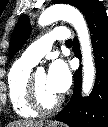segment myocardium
<instances>
[{
    "label": "myocardium",
    "instance_id": "obj_1",
    "mask_svg": "<svg viewBox=\"0 0 108 127\" xmlns=\"http://www.w3.org/2000/svg\"><path fill=\"white\" fill-rule=\"evenodd\" d=\"M27 98L30 106L39 113H49L56 110L62 103V98L58 97L50 104H46L41 99L36 81L35 74H30L27 84Z\"/></svg>",
    "mask_w": 108,
    "mask_h": 127
}]
</instances>
